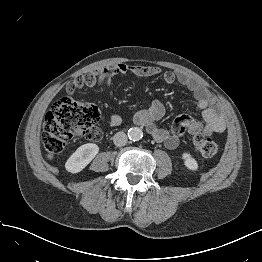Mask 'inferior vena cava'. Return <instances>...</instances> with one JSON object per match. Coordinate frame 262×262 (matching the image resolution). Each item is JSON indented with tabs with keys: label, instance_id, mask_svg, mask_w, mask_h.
Returning <instances> with one entry per match:
<instances>
[{
	"label": "inferior vena cava",
	"instance_id": "1",
	"mask_svg": "<svg viewBox=\"0 0 262 262\" xmlns=\"http://www.w3.org/2000/svg\"><path fill=\"white\" fill-rule=\"evenodd\" d=\"M116 146H124L127 143V135L124 132H117L113 137Z\"/></svg>",
	"mask_w": 262,
	"mask_h": 262
}]
</instances>
